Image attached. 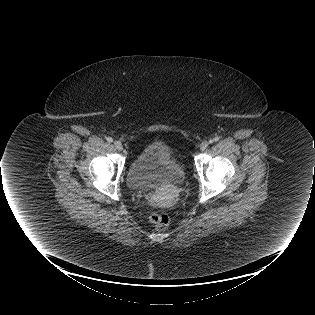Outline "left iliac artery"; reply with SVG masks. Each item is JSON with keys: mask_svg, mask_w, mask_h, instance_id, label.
<instances>
[{"mask_svg": "<svg viewBox=\"0 0 315 315\" xmlns=\"http://www.w3.org/2000/svg\"><path fill=\"white\" fill-rule=\"evenodd\" d=\"M219 137H215L213 140H210V143H213L214 141H218Z\"/></svg>", "mask_w": 315, "mask_h": 315, "instance_id": "1", "label": "left iliac artery"}]
</instances>
